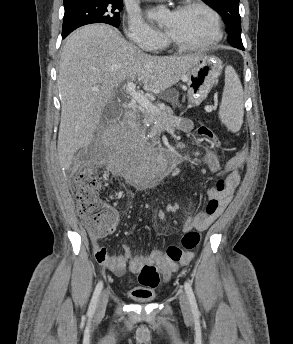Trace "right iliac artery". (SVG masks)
<instances>
[{"mask_svg": "<svg viewBox=\"0 0 293 344\" xmlns=\"http://www.w3.org/2000/svg\"><path fill=\"white\" fill-rule=\"evenodd\" d=\"M102 288H103V283H102V281H100L95 288L93 297H92L90 305H89L88 315H90V316L93 315L95 312L97 302H98L99 296L101 294Z\"/></svg>", "mask_w": 293, "mask_h": 344, "instance_id": "82829eb1", "label": "right iliac artery"}]
</instances>
